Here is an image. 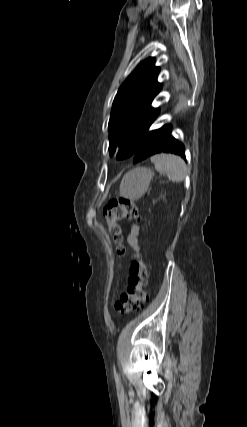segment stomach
I'll use <instances>...</instances> for the list:
<instances>
[{
    "label": "stomach",
    "mask_w": 247,
    "mask_h": 427,
    "mask_svg": "<svg viewBox=\"0 0 247 427\" xmlns=\"http://www.w3.org/2000/svg\"><path fill=\"white\" fill-rule=\"evenodd\" d=\"M153 173L145 167H137L127 172L120 184V196L129 200L140 199L147 191Z\"/></svg>",
    "instance_id": "stomach-1"
}]
</instances>
